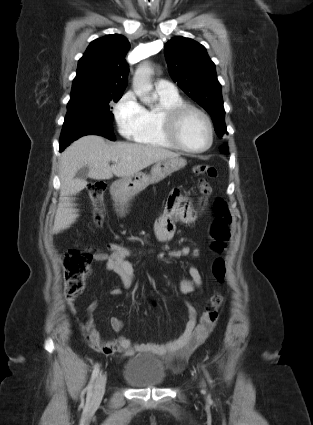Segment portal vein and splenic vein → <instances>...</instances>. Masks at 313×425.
Here are the masks:
<instances>
[{
    "instance_id": "portal-vein-and-splenic-vein-1",
    "label": "portal vein and splenic vein",
    "mask_w": 313,
    "mask_h": 425,
    "mask_svg": "<svg viewBox=\"0 0 313 425\" xmlns=\"http://www.w3.org/2000/svg\"><path fill=\"white\" fill-rule=\"evenodd\" d=\"M112 161H113V162H115V163H117V162H118V160H117V159H112Z\"/></svg>"
}]
</instances>
